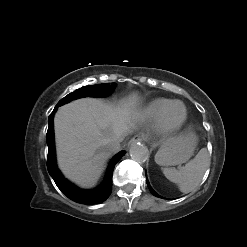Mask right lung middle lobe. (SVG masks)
Instances as JSON below:
<instances>
[{
	"mask_svg": "<svg viewBox=\"0 0 247 247\" xmlns=\"http://www.w3.org/2000/svg\"><path fill=\"white\" fill-rule=\"evenodd\" d=\"M115 84L109 86V83L96 84L91 86H85L77 89L73 93L68 94L66 97L59 101V105L68 103L74 99L91 96V97H102L110 94L114 90Z\"/></svg>",
	"mask_w": 247,
	"mask_h": 247,
	"instance_id": "dd1d6c3e",
	"label": "right lung middle lobe"
}]
</instances>
